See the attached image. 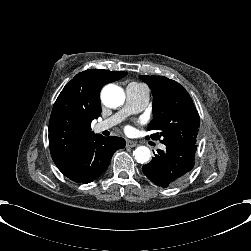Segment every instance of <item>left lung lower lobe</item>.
Returning a JSON list of instances; mask_svg holds the SVG:
<instances>
[{
	"label": "left lung lower lobe",
	"mask_w": 251,
	"mask_h": 251,
	"mask_svg": "<svg viewBox=\"0 0 251 251\" xmlns=\"http://www.w3.org/2000/svg\"><path fill=\"white\" fill-rule=\"evenodd\" d=\"M196 145L166 146L149 164L143 166L144 175L161 187L179 183L194 167Z\"/></svg>",
	"instance_id": "obj_1"
}]
</instances>
